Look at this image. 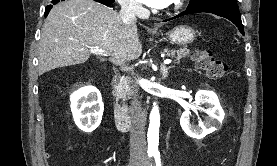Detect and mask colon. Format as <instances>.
I'll use <instances>...</instances> for the list:
<instances>
[{"instance_id":"5ec220e1","label":"colon","mask_w":277,"mask_h":166,"mask_svg":"<svg viewBox=\"0 0 277 166\" xmlns=\"http://www.w3.org/2000/svg\"><path fill=\"white\" fill-rule=\"evenodd\" d=\"M192 58L198 69L214 79L222 78L228 71V65L216 59L210 50H197Z\"/></svg>"}]
</instances>
